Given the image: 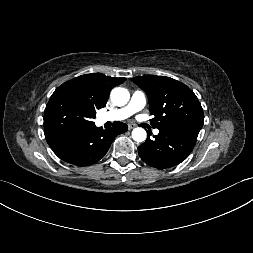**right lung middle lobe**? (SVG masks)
Returning a JSON list of instances; mask_svg holds the SVG:
<instances>
[{
    "instance_id": "dd1d6c3e",
    "label": "right lung middle lobe",
    "mask_w": 253,
    "mask_h": 253,
    "mask_svg": "<svg viewBox=\"0 0 253 253\" xmlns=\"http://www.w3.org/2000/svg\"><path fill=\"white\" fill-rule=\"evenodd\" d=\"M94 118L95 109L77 92L58 87L44 111V134L89 127Z\"/></svg>"
}]
</instances>
